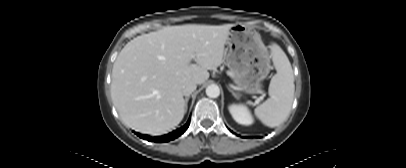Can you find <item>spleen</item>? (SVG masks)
Listing matches in <instances>:
<instances>
[{"instance_id": "3e777b00", "label": "spleen", "mask_w": 406, "mask_h": 168, "mask_svg": "<svg viewBox=\"0 0 406 168\" xmlns=\"http://www.w3.org/2000/svg\"><path fill=\"white\" fill-rule=\"evenodd\" d=\"M270 49L277 73L269 84L270 97L255 108V115L264 125L273 128L289 117L295 85L291 63L284 51L277 44H272Z\"/></svg>"}]
</instances>
